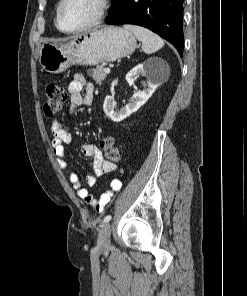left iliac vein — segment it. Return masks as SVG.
Segmentation results:
<instances>
[{
    "label": "left iliac vein",
    "instance_id": "1",
    "mask_svg": "<svg viewBox=\"0 0 247 296\" xmlns=\"http://www.w3.org/2000/svg\"><path fill=\"white\" fill-rule=\"evenodd\" d=\"M111 225L106 223L102 226L98 234V247L102 251H106L110 247Z\"/></svg>",
    "mask_w": 247,
    "mask_h": 296
}]
</instances>
